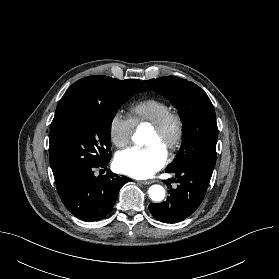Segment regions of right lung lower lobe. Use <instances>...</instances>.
Listing matches in <instances>:
<instances>
[{
    "label": "right lung lower lobe",
    "mask_w": 279,
    "mask_h": 279,
    "mask_svg": "<svg viewBox=\"0 0 279 279\" xmlns=\"http://www.w3.org/2000/svg\"><path fill=\"white\" fill-rule=\"evenodd\" d=\"M108 162L86 166L56 182L62 202L77 218L87 222L103 219L111 212L121 187L131 182L130 178L112 172L96 177L94 171L106 170Z\"/></svg>",
    "instance_id": "1"
}]
</instances>
